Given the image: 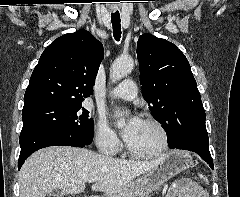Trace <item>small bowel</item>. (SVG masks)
Here are the masks:
<instances>
[{
    "instance_id": "small-bowel-1",
    "label": "small bowel",
    "mask_w": 240,
    "mask_h": 197,
    "mask_svg": "<svg viewBox=\"0 0 240 197\" xmlns=\"http://www.w3.org/2000/svg\"><path fill=\"white\" fill-rule=\"evenodd\" d=\"M167 197H208V193L196 183L183 180L171 188Z\"/></svg>"
}]
</instances>
